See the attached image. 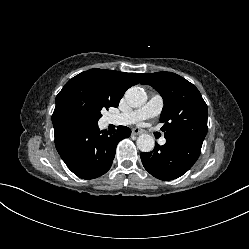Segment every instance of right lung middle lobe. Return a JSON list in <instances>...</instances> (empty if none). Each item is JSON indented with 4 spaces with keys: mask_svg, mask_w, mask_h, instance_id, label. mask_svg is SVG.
I'll use <instances>...</instances> for the list:
<instances>
[{
    "mask_svg": "<svg viewBox=\"0 0 249 249\" xmlns=\"http://www.w3.org/2000/svg\"><path fill=\"white\" fill-rule=\"evenodd\" d=\"M111 107L109 102L86 83H69L56 97L53 115L67 114L88 123H97L101 110Z\"/></svg>",
    "mask_w": 249,
    "mask_h": 249,
    "instance_id": "obj_1",
    "label": "right lung middle lobe"
}]
</instances>
